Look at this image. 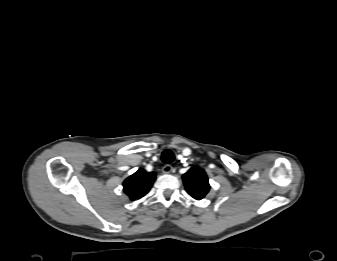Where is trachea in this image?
I'll return each mask as SVG.
<instances>
[{"mask_svg": "<svg viewBox=\"0 0 337 261\" xmlns=\"http://www.w3.org/2000/svg\"><path fill=\"white\" fill-rule=\"evenodd\" d=\"M161 158L164 163L169 164L174 160V153L170 149H166L162 152Z\"/></svg>", "mask_w": 337, "mask_h": 261, "instance_id": "trachea-1", "label": "trachea"}]
</instances>
